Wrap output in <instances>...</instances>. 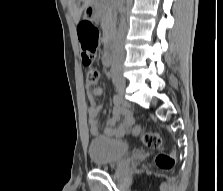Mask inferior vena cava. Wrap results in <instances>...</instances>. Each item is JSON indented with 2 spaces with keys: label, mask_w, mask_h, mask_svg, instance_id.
Instances as JSON below:
<instances>
[{
  "label": "inferior vena cava",
  "mask_w": 223,
  "mask_h": 191,
  "mask_svg": "<svg viewBox=\"0 0 223 191\" xmlns=\"http://www.w3.org/2000/svg\"><path fill=\"white\" fill-rule=\"evenodd\" d=\"M117 5H118V10L121 14V23L119 27L117 40H116V47H115V53H114V58H113V64H112V71L114 74L117 73L122 67V61L125 55L122 40L124 38L125 31L127 29L126 20L124 17V12H125L124 0H118Z\"/></svg>",
  "instance_id": "602c4592"
}]
</instances>
